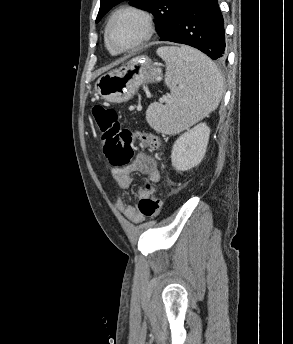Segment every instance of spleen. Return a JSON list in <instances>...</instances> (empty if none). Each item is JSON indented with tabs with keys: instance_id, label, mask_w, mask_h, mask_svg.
<instances>
[{
	"instance_id": "3e777b00",
	"label": "spleen",
	"mask_w": 293,
	"mask_h": 344,
	"mask_svg": "<svg viewBox=\"0 0 293 344\" xmlns=\"http://www.w3.org/2000/svg\"><path fill=\"white\" fill-rule=\"evenodd\" d=\"M157 54L166 63L165 84L171 95L165 105L150 104L146 120L157 132L177 134L218 107L223 76L206 55L191 47H160Z\"/></svg>"
}]
</instances>
